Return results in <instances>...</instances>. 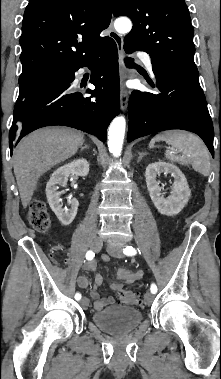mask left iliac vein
Masks as SVG:
<instances>
[{
  "label": "left iliac vein",
  "mask_w": 221,
  "mask_h": 379,
  "mask_svg": "<svg viewBox=\"0 0 221 379\" xmlns=\"http://www.w3.org/2000/svg\"><path fill=\"white\" fill-rule=\"evenodd\" d=\"M124 247L123 243H111L107 246V252L113 257H122V249ZM154 300V295L152 292H147L144 296V301L146 305L152 304Z\"/></svg>",
  "instance_id": "obj_1"
}]
</instances>
